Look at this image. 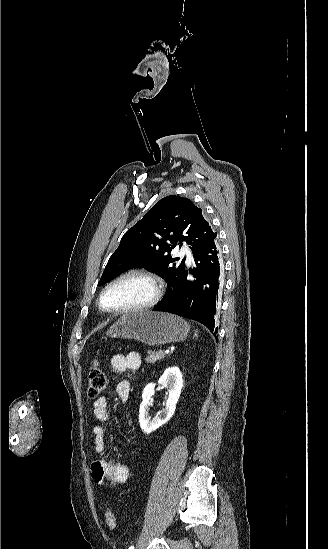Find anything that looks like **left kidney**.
I'll list each match as a JSON object with an SVG mask.
<instances>
[{
    "instance_id": "1",
    "label": "left kidney",
    "mask_w": 328,
    "mask_h": 549,
    "mask_svg": "<svg viewBox=\"0 0 328 549\" xmlns=\"http://www.w3.org/2000/svg\"><path fill=\"white\" fill-rule=\"evenodd\" d=\"M158 385H163L167 389L169 397L168 401H166L165 409L159 411L156 417H149V407H151V397L155 393V383H148L142 393L143 401L139 409V423L143 433H146V435H149L152 431H156L158 427L167 423L172 415H174L183 387L180 369L178 367H169V369H166L162 377H160Z\"/></svg>"
}]
</instances>
